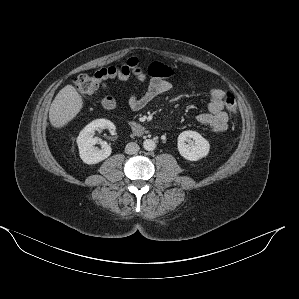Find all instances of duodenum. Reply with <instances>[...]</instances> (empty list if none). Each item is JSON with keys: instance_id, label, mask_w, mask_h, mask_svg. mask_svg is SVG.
Wrapping results in <instances>:
<instances>
[{"instance_id": "410a0bca", "label": "duodenum", "mask_w": 299, "mask_h": 299, "mask_svg": "<svg viewBox=\"0 0 299 299\" xmlns=\"http://www.w3.org/2000/svg\"><path fill=\"white\" fill-rule=\"evenodd\" d=\"M125 123L130 127V129L132 130V132L138 136H142L145 133V127L140 124L137 123L135 121H125Z\"/></svg>"}]
</instances>
